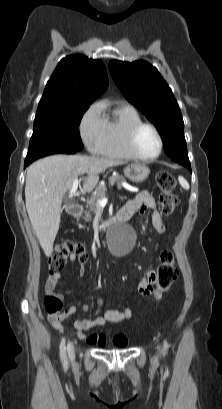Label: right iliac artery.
<instances>
[{
    "label": "right iliac artery",
    "instance_id": "1",
    "mask_svg": "<svg viewBox=\"0 0 222 409\" xmlns=\"http://www.w3.org/2000/svg\"><path fill=\"white\" fill-rule=\"evenodd\" d=\"M60 357L64 364H67V356H66V347H65V338L62 339L60 343Z\"/></svg>",
    "mask_w": 222,
    "mask_h": 409
}]
</instances>
